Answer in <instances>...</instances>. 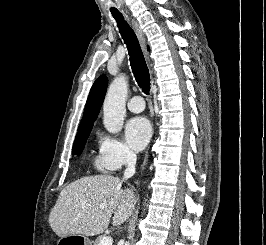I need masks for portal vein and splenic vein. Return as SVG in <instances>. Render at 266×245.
<instances>
[{
  "label": "portal vein and splenic vein",
  "instance_id": "portal-vein-and-splenic-vein-1",
  "mask_svg": "<svg viewBox=\"0 0 266 245\" xmlns=\"http://www.w3.org/2000/svg\"><path fill=\"white\" fill-rule=\"evenodd\" d=\"M102 209H104V205H100ZM99 245H113V239L112 237H102Z\"/></svg>",
  "mask_w": 266,
  "mask_h": 245
}]
</instances>
